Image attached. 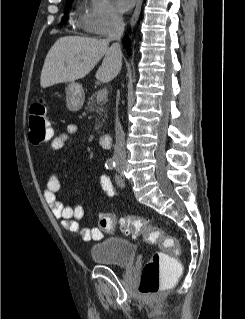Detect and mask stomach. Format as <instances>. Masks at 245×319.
Masks as SVG:
<instances>
[{"mask_svg": "<svg viewBox=\"0 0 245 319\" xmlns=\"http://www.w3.org/2000/svg\"><path fill=\"white\" fill-rule=\"evenodd\" d=\"M66 106L69 111L75 112L82 108L84 91L79 83L72 82L66 88Z\"/></svg>", "mask_w": 245, "mask_h": 319, "instance_id": "1", "label": "stomach"}]
</instances>
